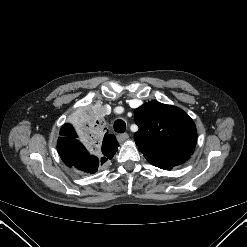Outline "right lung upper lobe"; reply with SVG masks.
<instances>
[{
  "mask_svg": "<svg viewBox=\"0 0 247 247\" xmlns=\"http://www.w3.org/2000/svg\"><path fill=\"white\" fill-rule=\"evenodd\" d=\"M99 122L96 120H93L92 122L87 123L86 127H88V131H93L98 129ZM60 135L64 137H72L77 138V134L74 130V128L70 124H65L60 131ZM91 136V134H89ZM92 139L88 138L87 151L90 153V155L95 156V158L103 165L108 159H111L113 155L115 154L118 142L116 141V138L113 135H108L106 133L104 137L101 140H97L94 137H91Z\"/></svg>",
  "mask_w": 247,
  "mask_h": 247,
  "instance_id": "right-lung-upper-lobe-1",
  "label": "right lung upper lobe"
}]
</instances>
